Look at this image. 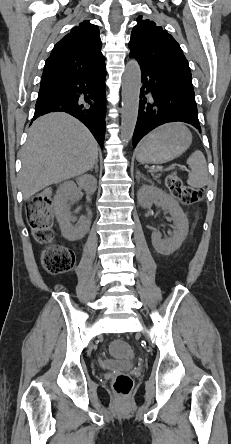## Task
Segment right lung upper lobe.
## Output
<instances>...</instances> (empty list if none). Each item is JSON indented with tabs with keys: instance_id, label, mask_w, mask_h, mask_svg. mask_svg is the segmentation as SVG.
<instances>
[{
	"instance_id": "right-lung-upper-lobe-1",
	"label": "right lung upper lobe",
	"mask_w": 231,
	"mask_h": 444,
	"mask_svg": "<svg viewBox=\"0 0 231 444\" xmlns=\"http://www.w3.org/2000/svg\"><path fill=\"white\" fill-rule=\"evenodd\" d=\"M101 47L98 26L83 21L54 46L45 62L40 87L105 70Z\"/></svg>"
}]
</instances>
